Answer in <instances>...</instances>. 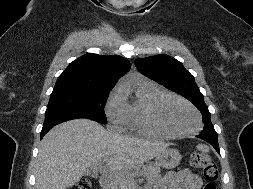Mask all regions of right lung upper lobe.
<instances>
[{
  "instance_id": "right-lung-upper-lobe-1",
  "label": "right lung upper lobe",
  "mask_w": 253,
  "mask_h": 189,
  "mask_svg": "<svg viewBox=\"0 0 253 189\" xmlns=\"http://www.w3.org/2000/svg\"><path fill=\"white\" fill-rule=\"evenodd\" d=\"M130 67V62L121 56L87 53L68 65L54 88H113Z\"/></svg>"
}]
</instances>
